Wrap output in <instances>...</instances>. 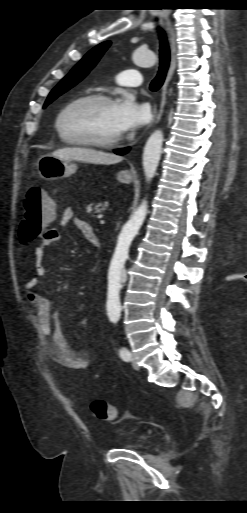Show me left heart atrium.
Here are the masks:
<instances>
[{
    "label": "left heart atrium",
    "instance_id": "obj_1",
    "mask_svg": "<svg viewBox=\"0 0 247 513\" xmlns=\"http://www.w3.org/2000/svg\"><path fill=\"white\" fill-rule=\"evenodd\" d=\"M149 117L147 105L138 103L132 96H126L116 104V122L121 134L141 127Z\"/></svg>",
    "mask_w": 247,
    "mask_h": 513
}]
</instances>
